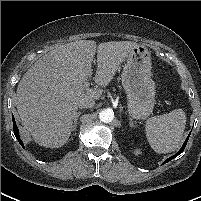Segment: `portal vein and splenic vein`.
<instances>
[{"instance_id":"obj_1","label":"portal vein and splenic vein","mask_w":201,"mask_h":201,"mask_svg":"<svg viewBox=\"0 0 201 201\" xmlns=\"http://www.w3.org/2000/svg\"><path fill=\"white\" fill-rule=\"evenodd\" d=\"M83 86H84L85 89H88L90 87V83L89 82H85Z\"/></svg>"}]
</instances>
